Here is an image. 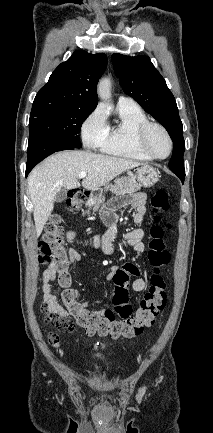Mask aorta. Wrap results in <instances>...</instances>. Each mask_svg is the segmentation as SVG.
<instances>
[{
    "mask_svg": "<svg viewBox=\"0 0 213 433\" xmlns=\"http://www.w3.org/2000/svg\"><path fill=\"white\" fill-rule=\"evenodd\" d=\"M97 93L99 97L107 101L111 97V81L108 78H102L99 81L98 87H97Z\"/></svg>",
    "mask_w": 213,
    "mask_h": 433,
    "instance_id": "obj_1",
    "label": "aorta"
}]
</instances>
